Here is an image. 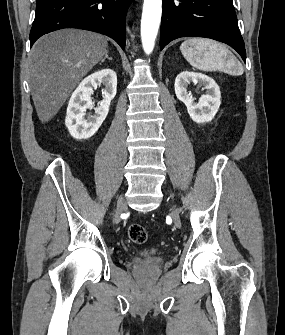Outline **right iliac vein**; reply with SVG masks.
<instances>
[{
    "label": "right iliac vein",
    "mask_w": 285,
    "mask_h": 335,
    "mask_svg": "<svg viewBox=\"0 0 285 335\" xmlns=\"http://www.w3.org/2000/svg\"><path fill=\"white\" fill-rule=\"evenodd\" d=\"M117 209H118L119 214L124 212L127 209V206L125 204V200H124L123 196L119 197V199H118Z\"/></svg>",
    "instance_id": "63e3f726"
}]
</instances>
